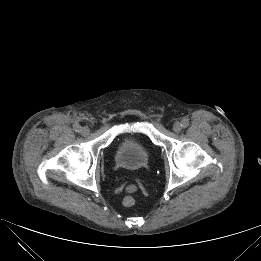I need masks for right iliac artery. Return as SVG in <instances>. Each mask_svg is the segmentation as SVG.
I'll return each mask as SVG.
<instances>
[{
	"mask_svg": "<svg viewBox=\"0 0 261 261\" xmlns=\"http://www.w3.org/2000/svg\"><path fill=\"white\" fill-rule=\"evenodd\" d=\"M74 130H75L76 132H80V131H81V126L78 125V124L74 125Z\"/></svg>",
	"mask_w": 261,
	"mask_h": 261,
	"instance_id": "obj_1",
	"label": "right iliac artery"
}]
</instances>
